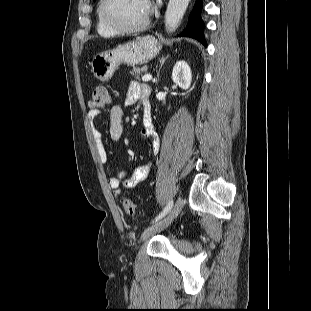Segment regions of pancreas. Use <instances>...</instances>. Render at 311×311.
I'll list each match as a JSON object with an SVG mask.
<instances>
[{
	"label": "pancreas",
	"instance_id": "1",
	"mask_svg": "<svg viewBox=\"0 0 311 311\" xmlns=\"http://www.w3.org/2000/svg\"><path fill=\"white\" fill-rule=\"evenodd\" d=\"M146 70H147L146 66H144L142 68H140V67H133V70L130 73H131V75L139 78L140 75L142 74V72H145Z\"/></svg>",
	"mask_w": 311,
	"mask_h": 311
}]
</instances>
